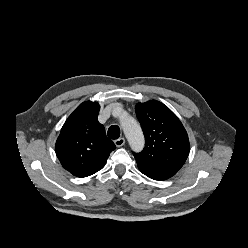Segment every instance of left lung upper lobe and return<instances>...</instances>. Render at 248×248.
I'll list each match as a JSON object with an SVG mask.
<instances>
[{
	"label": "left lung upper lobe",
	"instance_id": "obj_1",
	"mask_svg": "<svg viewBox=\"0 0 248 248\" xmlns=\"http://www.w3.org/2000/svg\"><path fill=\"white\" fill-rule=\"evenodd\" d=\"M145 147L133 153L137 165L149 171L174 176L185 163L190 150L185 128L163 103L151 100L136 105Z\"/></svg>",
	"mask_w": 248,
	"mask_h": 248
}]
</instances>
